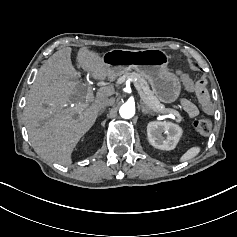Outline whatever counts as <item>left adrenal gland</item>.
<instances>
[{
    "mask_svg": "<svg viewBox=\"0 0 237 237\" xmlns=\"http://www.w3.org/2000/svg\"><path fill=\"white\" fill-rule=\"evenodd\" d=\"M140 107L143 115L152 114V111L145 105V103L141 102Z\"/></svg>",
    "mask_w": 237,
    "mask_h": 237,
    "instance_id": "a2214340",
    "label": "left adrenal gland"
}]
</instances>
